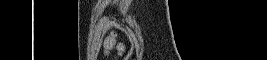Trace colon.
I'll return each mask as SVG.
<instances>
[{"label": "colon", "instance_id": "colon-1", "mask_svg": "<svg viewBox=\"0 0 267 60\" xmlns=\"http://www.w3.org/2000/svg\"><path fill=\"white\" fill-rule=\"evenodd\" d=\"M123 51L121 43H119L114 36H109L106 40L104 52L107 55L112 53L120 54Z\"/></svg>", "mask_w": 267, "mask_h": 60}]
</instances>
